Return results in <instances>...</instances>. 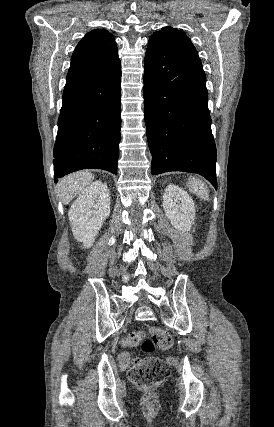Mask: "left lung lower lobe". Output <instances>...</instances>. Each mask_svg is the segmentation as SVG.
I'll use <instances>...</instances> for the list:
<instances>
[{"instance_id":"1","label":"left lung lower lobe","mask_w":274,"mask_h":427,"mask_svg":"<svg viewBox=\"0 0 274 427\" xmlns=\"http://www.w3.org/2000/svg\"><path fill=\"white\" fill-rule=\"evenodd\" d=\"M144 104L152 175L198 173L217 189L216 147L199 57L165 39L150 38Z\"/></svg>"}]
</instances>
